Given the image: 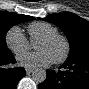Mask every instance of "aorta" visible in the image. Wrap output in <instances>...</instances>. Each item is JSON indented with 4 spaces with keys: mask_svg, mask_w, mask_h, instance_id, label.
<instances>
[{
    "mask_svg": "<svg viewBox=\"0 0 89 89\" xmlns=\"http://www.w3.org/2000/svg\"><path fill=\"white\" fill-rule=\"evenodd\" d=\"M46 79V71L42 68H36L32 72V80L36 83H42Z\"/></svg>",
    "mask_w": 89,
    "mask_h": 89,
    "instance_id": "762f6f07",
    "label": "aorta"
}]
</instances>
